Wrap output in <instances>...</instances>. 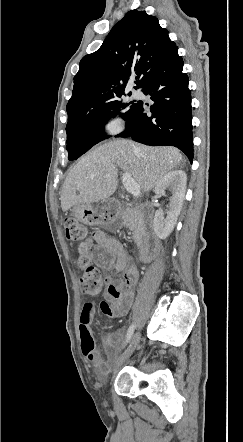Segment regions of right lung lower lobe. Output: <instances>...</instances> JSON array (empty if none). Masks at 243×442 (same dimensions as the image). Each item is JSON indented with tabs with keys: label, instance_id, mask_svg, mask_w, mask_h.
<instances>
[{
	"label": "right lung lower lobe",
	"instance_id": "1",
	"mask_svg": "<svg viewBox=\"0 0 243 442\" xmlns=\"http://www.w3.org/2000/svg\"><path fill=\"white\" fill-rule=\"evenodd\" d=\"M188 76L183 72V60L176 50L144 82L142 92L150 94L152 116L145 113V104L137 102L126 130L117 137L151 146L170 145L184 152L192 163L193 135L191 93Z\"/></svg>",
	"mask_w": 243,
	"mask_h": 442
}]
</instances>
